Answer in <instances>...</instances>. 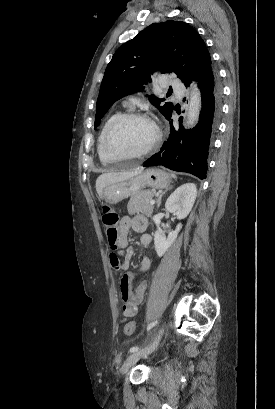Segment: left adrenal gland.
<instances>
[{"label":"left adrenal gland","mask_w":275,"mask_h":409,"mask_svg":"<svg viewBox=\"0 0 275 409\" xmlns=\"http://www.w3.org/2000/svg\"><path fill=\"white\" fill-rule=\"evenodd\" d=\"M166 190H169V188H166ZM166 190H164V192H161L160 196H158L156 202H157V209H159L160 205H161V198L163 196V194H165Z\"/></svg>","instance_id":"left-adrenal-gland-1"}]
</instances>
